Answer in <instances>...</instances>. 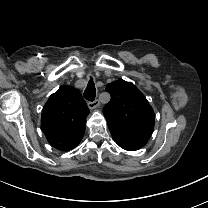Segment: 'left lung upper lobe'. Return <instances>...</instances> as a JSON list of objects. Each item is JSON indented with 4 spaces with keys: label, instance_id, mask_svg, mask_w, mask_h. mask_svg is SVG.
Returning <instances> with one entry per match:
<instances>
[{
    "label": "left lung upper lobe",
    "instance_id": "obj_1",
    "mask_svg": "<svg viewBox=\"0 0 208 208\" xmlns=\"http://www.w3.org/2000/svg\"><path fill=\"white\" fill-rule=\"evenodd\" d=\"M111 100L103 109L108 125L143 131L148 137L154 130L155 115L146 97L131 82L119 79L106 86Z\"/></svg>",
    "mask_w": 208,
    "mask_h": 208
}]
</instances>
